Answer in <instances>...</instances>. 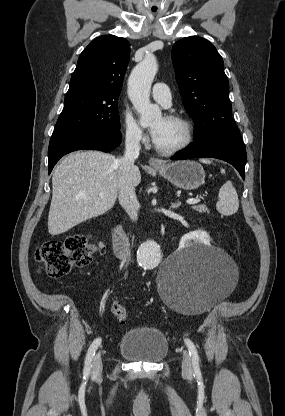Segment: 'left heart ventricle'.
<instances>
[{
	"instance_id": "1",
	"label": "left heart ventricle",
	"mask_w": 285,
	"mask_h": 416,
	"mask_svg": "<svg viewBox=\"0 0 285 416\" xmlns=\"http://www.w3.org/2000/svg\"><path fill=\"white\" fill-rule=\"evenodd\" d=\"M158 123H162L163 126L161 137L156 143L159 147L165 149L172 148L183 140L184 133L180 125L165 117H158L151 122L152 126Z\"/></svg>"
}]
</instances>
